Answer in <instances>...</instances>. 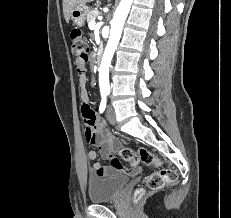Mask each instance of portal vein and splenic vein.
Returning <instances> with one entry per match:
<instances>
[{"label": "portal vein and splenic vein", "mask_w": 231, "mask_h": 218, "mask_svg": "<svg viewBox=\"0 0 231 218\" xmlns=\"http://www.w3.org/2000/svg\"><path fill=\"white\" fill-rule=\"evenodd\" d=\"M95 24H96L95 21H91V22L89 23V27H90V28H94V27H95Z\"/></svg>", "instance_id": "portal-vein-and-splenic-vein-1"}]
</instances>
